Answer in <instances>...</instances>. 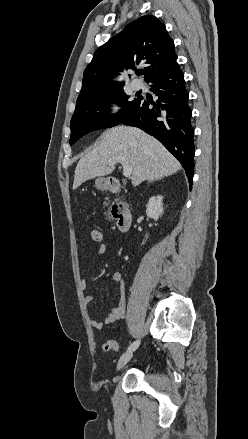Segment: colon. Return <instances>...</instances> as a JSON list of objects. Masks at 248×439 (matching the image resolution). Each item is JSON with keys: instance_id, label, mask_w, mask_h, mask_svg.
<instances>
[{"instance_id": "colon-1", "label": "colon", "mask_w": 248, "mask_h": 439, "mask_svg": "<svg viewBox=\"0 0 248 439\" xmlns=\"http://www.w3.org/2000/svg\"><path fill=\"white\" fill-rule=\"evenodd\" d=\"M90 238L92 240L93 243L95 244H102L103 243V234L100 230L98 229H93L90 232ZM119 344L117 341L115 340H108L103 344V350L104 351H110V350H114V351H118L119 350Z\"/></svg>"}]
</instances>
